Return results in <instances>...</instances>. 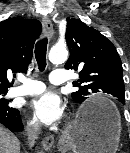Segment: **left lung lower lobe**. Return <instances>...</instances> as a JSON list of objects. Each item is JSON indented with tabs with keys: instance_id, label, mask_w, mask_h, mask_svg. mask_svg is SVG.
Listing matches in <instances>:
<instances>
[{
	"instance_id": "0a47b994",
	"label": "left lung lower lobe",
	"mask_w": 130,
	"mask_h": 153,
	"mask_svg": "<svg viewBox=\"0 0 130 153\" xmlns=\"http://www.w3.org/2000/svg\"><path fill=\"white\" fill-rule=\"evenodd\" d=\"M122 104H125V101L121 102ZM102 111H108V108H102V109H98V108H86L83 113H82V117L85 120H89L92 117L98 115L100 112Z\"/></svg>"
}]
</instances>
